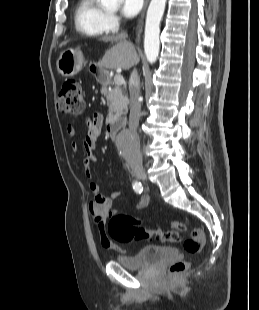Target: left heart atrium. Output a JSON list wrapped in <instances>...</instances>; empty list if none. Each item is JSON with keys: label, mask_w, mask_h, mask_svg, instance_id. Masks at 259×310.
<instances>
[{"label": "left heart atrium", "mask_w": 259, "mask_h": 310, "mask_svg": "<svg viewBox=\"0 0 259 310\" xmlns=\"http://www.w3.org/2000/svg\"><path fill=\"white\" fill-rule=\"evenodd\" d=\"M144 0H121V13L126 18L135 17L142 9Z\"/></svg>", "instance_id": "left-heart-atrium-1"}]
</instances>
